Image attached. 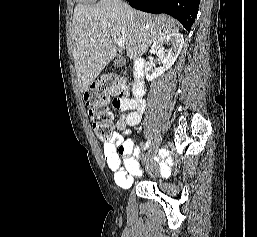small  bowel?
Here are the masks:
<instances>
[{"mask_svg":"<svg viewBox=\"0 0 257 237\" xmlns=\"http://www.w3.org/2000/svg\"><path fill=\"white\" fill-rule=\"evenodd\" d=\"M114 107L123 112L117 120L116 130L111 139L104 144L102 154L110 170L114 174L118 186L127 188L131 185L133 177L140 175L138 157L139 148L130 134L129 127L137 126L146 108V101L141 98H123L113 103ZM161 174L167 176L170 168L161 164Z\"/></svg>","mask_w":257,"mask_h":237,"instance_id":"obj_1","label":"small bowel"}]
</instances>
